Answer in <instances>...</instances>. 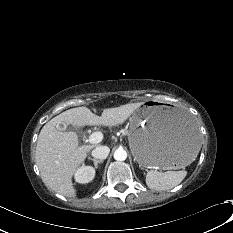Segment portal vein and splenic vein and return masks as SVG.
<instances>
[{
  "label": "portal vein and splenic vein",
  "mask_w": 233,
  "mask_h": 233,
  "mask_svg": "<svg viewBox=\"0 0 233 233\" xmlns=\"http://www.w3.org/2000/svg\"><path fill=\"white\" fill-rule=\"evenodd\" d=\"M103 140V134L101 132H94L89 136L88 141L91 144L100 143Z\"/></svg>",
  "instance_id": "obj_1"
}]
</instances>
